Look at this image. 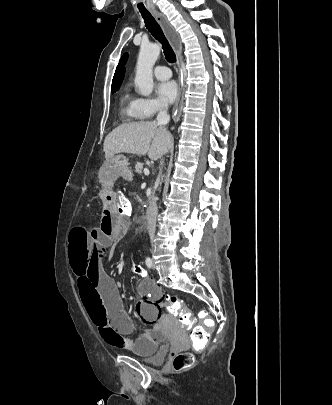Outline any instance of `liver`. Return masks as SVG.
<instances>
[{"instance_id":"6515ba94","label":"liver","mask_w":332,"mask_h":405,"mask_svg":"<svg viewBox=\"0 0 332 405\" xmlns=\"http://www.w3.org/2000/svg\"><path fill=\"white\" fill-rule=\"evenodd\" d=\"M171 133L155 121L125 123L112 130L104 140V152L107 162L115 154L129 153L148 155L158 160L171 148Z\"/></svg>"}]
</instances>
